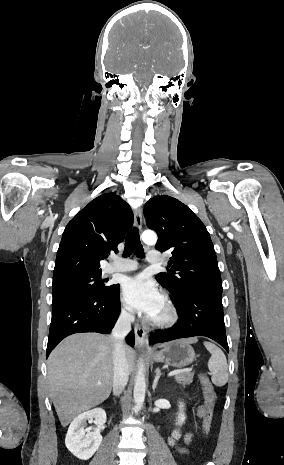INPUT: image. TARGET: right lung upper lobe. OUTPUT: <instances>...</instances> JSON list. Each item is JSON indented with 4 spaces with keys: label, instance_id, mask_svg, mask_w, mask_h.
Returning a JSON list of instances; mask_svg holds the SVG:
<instances>
[{
    "label": "right lung upper lobe",
    "instance_id": "cb5924a9",
    "mask_svg": "<svg viewBox=\"0 0 284 465\" xmlns=\"http://www.w3.org/2000/svg\"><path fill=\"white\" fill-rule=\"evenodd\" d=\"M130 206L118 195L102 194L85 206L66 226L57 251L53 280L102 273L100 260L117 245L133 224Z\"/></svg>",
    "mask_w": 284,
    "mask_h": 465
}]
</instances>
